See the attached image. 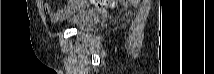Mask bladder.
Instances as JSON below:
<instances>
[{
	"mask_svg": "<svg viewBox=\"0 0 214 74\" xmlns=\"http://www.w3.org/2000/svg\"><path fill=\"white\" fill-rule=\"evenodd\" d=\"M73 26L80 31L91 29L99 20V14L89 9H82L68 17Z\"/></svg>",
	"mask_w": 214,
	"mask_h": 74,
	"instance_id": "1",
	"label": "bladder"
}]
</instances>
